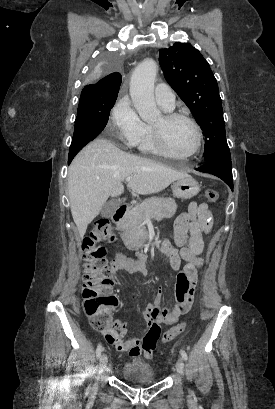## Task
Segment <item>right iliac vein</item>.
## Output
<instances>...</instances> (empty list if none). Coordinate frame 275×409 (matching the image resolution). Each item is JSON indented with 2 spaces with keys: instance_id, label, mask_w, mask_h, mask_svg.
<instances>
[{
  "instance_id": "63e3f726",
  "label": "right iliac vein",
  "mask_w": 275,
  "mask_h": 409,
  "mask_svg": "<svg viewBox=\"0 0 275 409\" xmlns=\"http://www.w3.org/2000/svg\"><path fill=\"white\" fill-rule=\"evenodd\" d=\"M107 363H108V357L105 354H103L101 356V358H100V363H99V372L100 373H102L104 371V369L107 366ZM98 378H100L99 375H98ZM98 384H99V380L97 379L94 385L98 386Z\"/></svg>"
}]
</instances>
